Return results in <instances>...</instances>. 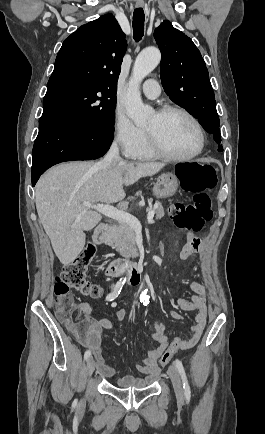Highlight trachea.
<instances>
[{"mask_svg":"<svg viewBox=\"0 0 265 434\" xmlns=\"http://www.w3.org/2000/svg\"><path fill=\"white\" fill-rule=\"evenodd\" d=\"M145 15L142 8H136L133 13V34L135 40H140L144 32Z\"/></svg>","mask_w":265,"mask_h":434,"instance_id":"3493384b","label":"trachea"}]
</instances>
